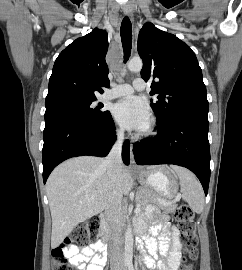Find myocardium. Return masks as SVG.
I'll use <instances>...</instances> for the list:
<instances>
[{
  "mask_svg": "<svg viewBox=\"0 0 242 270\" xmlns=\"http://www.w3.org/2000/svg\"><path fill=\"white\" fill-rule=\"evenodd\" d=\"M155 131V122L152 121L150 124H148V126L144 129V131L142 132L143 136H150L154 133Z\"/></svg>",
  "mask_w": 242,
  "mask_h": 270,
  "instance_id": "1",
  "label": "myocardium"
}]
</instances>
